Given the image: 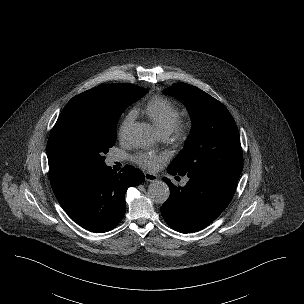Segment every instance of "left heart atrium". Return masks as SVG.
Here are the masks:
<instances>
[{
    "instance_id": "obj_1",
    "label": "left heart atrium",
    "mask_w": 304,
    "mask_h": 304,
    "mask_svg": "<svg viewBox=\"0 0 304 304\" xmlns=\"http://www.w3.org/2000/svg\"><path fill=\"white\" fill-rule=\"evenodd\" d=\"M133 160L140 167L152 170L165 160V156L151 152H140L133 157Z\"/></svg>"
}]
</instances>
